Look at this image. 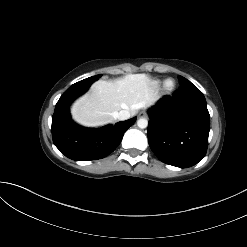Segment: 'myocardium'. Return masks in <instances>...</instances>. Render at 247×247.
<instances>
[{
    "label": "myocardium",
    "mask_w": 247,
    "mask_h": 247,
    "mask_svg": "<svg viewBox=\"0 0 247 247\" xmlns=\"http://www.w3.org/2000/svg\"><path fill=\"white\" fill-rule=\"evenodd\" d=\"M164 86H165V89L168 92H171L175 88V82L172 79H168V80L165 81V85Z\"/></svg>",
    "instance_id": "obj_1"
}]
</instances>
